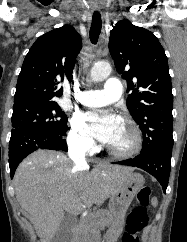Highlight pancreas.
Wrapping results in <instances>:
<instances>
[{
    "mask_svg": "<svg viewBox=\"0 0 187 242\" xmlns=\"http://www.w3.org/2000/svg\"><path fill=\"white\" fill-rule=\"evenodd\" d=\"M110 224L109 212L98 210L82 217L75 230V242H94V236L101 227Z\"/></svg>",
    "mask_w": 187,
    "mask_h": 242,
    "instance_id": "cf45deb5",
    "label": "pancreas"
}]
</instances>
